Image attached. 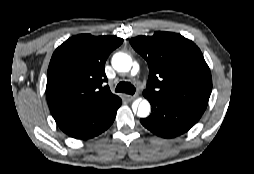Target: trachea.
Returning a JSON list of instances; mask_svg holds the SVG:
<instances>
[{"label":"trachea","mask_w":254,"mask_h":174,"mask_svg":"<svg viewBox=\"0 0 254 174\" xmlns=\"http://www.w3.org/2000/svg\"><path fill=\"white\" fill-rule=\"evenodd\" d=\"M115 91L133 95L135 93V87L129 82L122 81L116 86Z\"/></svg>","instance_id":"1"}]
</instances>
